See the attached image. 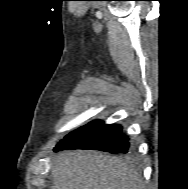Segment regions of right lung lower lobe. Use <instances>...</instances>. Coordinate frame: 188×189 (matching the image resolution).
Wrapping results in <instances>:
<instances>
[{"label":"right lung lower lobe","instance_id":"right-lung-lower-lobe-1","mask_svg":"<svg viewBox=\"0 0 188 189\" xmlns=\"http://www.w3.org/2000/svg\"><path fill=\"white\" fill-rule=\"evenodd\" d=\"M64 149H92L110 153H132L129 138L122 134V127L104 124L100 120L92 121L65 136L54 148V151Z\"/></svg>","mask_w":188,"mask_h":189}]
</instances>
